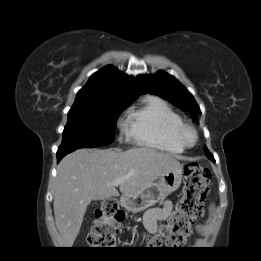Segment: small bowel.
Instances as JSON below:
<instances>
[{
	"instance_id": "c3829d8e",
	"label": "small bowel",
	"mask_w": 261,
	"mask_h": 261,
	"mask_svg": "<svg viewBox=\"0 0 261 261\" xmlns=\"http://www.w3.org/2000/svg\"><path fill=\"white\" fill-rule=\"evenodd\" d=\"M172 202L165 201L161 207L150 210L146 215V225L149 230L156 232L158 229L159 222L167 219L172 212ZM205 228L203 226L198 227L200 233L204 232Z\"/></svg>"
}]
</instances>
